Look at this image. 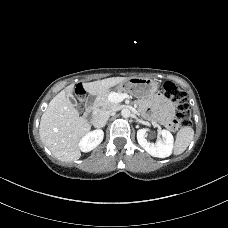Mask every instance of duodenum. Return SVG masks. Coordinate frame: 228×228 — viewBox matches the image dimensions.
Listing matches in <instances>:
<instances>
[{"label":"duodenum","instance_id":"obj_1","mask_svg":"<svg viewBox=\"0 0 228 228\" xmlns=\"http://www.w3.org/2000/svg\"><path fill=\"white\" fill-rule=\"evenodd\" d=\"M95 97H91L88 102H87V105H86V112H85V117L86 118H89L90 114H91V111L94 107V103H95Z\"/></svg>","mask_w":228,"mask_h":228}]
</instances>
